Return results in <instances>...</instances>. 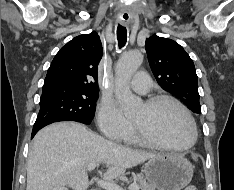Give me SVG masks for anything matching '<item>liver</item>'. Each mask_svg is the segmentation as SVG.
<instances>
[{"mask_svg":"<svg viewBox=\"0 0 234 190\" xmlns=\"http://www.w3.org/2000/svg\"><path fill=\"white\" fill-rule=\"evenodd\" d=\"M155 156L106 140L79 123H55L34 137L27 160L26 190H86L91 163L102 162L104 179L113 180Z\"/></svg>","mask_w":234,"mask_h":190,"instance_id":"6515ba94","label":"liver"}]
</instances>
